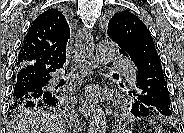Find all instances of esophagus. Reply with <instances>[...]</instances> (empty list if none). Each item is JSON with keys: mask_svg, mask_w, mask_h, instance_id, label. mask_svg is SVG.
Returning <instances> with one entry per match:
<instances>
[{"mask_svg": "<svg viewBox=\"0 0 184 133\" xmlns=\"http://www.w3.org/2000/svg\"><path fill=\"white\" fill-rule=\"evenodd\" d=\"M77 48L79 61L87 68L89 73H92L98 67L94 55L93 35L85 29L80 30L77 36ZM79 109L85 117H88L93 112L94 105L91 101L82 99Z\"/></svg>", "mask_w": 184, "mask_h": 133, "instance_id": "1", "label": "esophagus"}]
</instances>
